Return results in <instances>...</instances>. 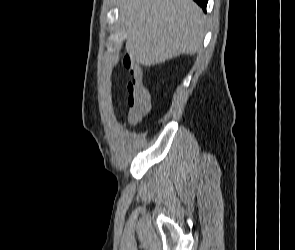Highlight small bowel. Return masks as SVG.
<instances>
[{
    "mask_svg": "<svg viewBox=\"0 0 295 250\" xmlns=\"http://www.w3.org/2000/svg\"><path fill=\"white\" fill-rule=\"evenodd\" d=\"M124 65L129 69L133 77H143L142 68L137 65L130 57L124 59Z\"/></svg>",
    "mask_w": 295,
    "mask_h": 250,
    "instance_id": "1",
    "label": "small bowel"
}]
</instances>
